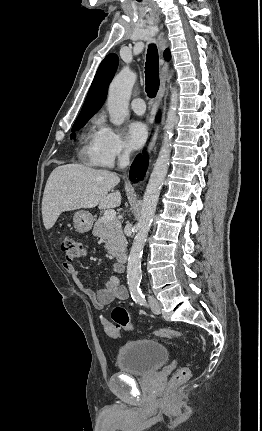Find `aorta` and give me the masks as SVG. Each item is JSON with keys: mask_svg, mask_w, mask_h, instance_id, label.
Returning a JSON list of instances; mask_svg holds the SVG:
<instances>
[{"mask_svg": "<svg viewBox=\"0 0 262 431\" xmlns=\"http://www.w3.org/2000/svg\"><path fill=\"white\" fill-rule=\"evenodd\" d=\"M136 79V74L126 67L120 71L109 86L107 107L110 121L118 127L124 123L129 114V99ZM171 90V102L165 122L162 147L144 193L141 217L137 224L138 231L134 237L128 257L127 281L130 286H137L141 281V258L143 249L156 211L160 191L168 172L172 136L177 120L178 107L177 89L173 87Z\"/></svg>", "mask_w": 262, "mask_h": 431, "instance_id": "762f6f07", "label": "aorta"}]
</instances>
